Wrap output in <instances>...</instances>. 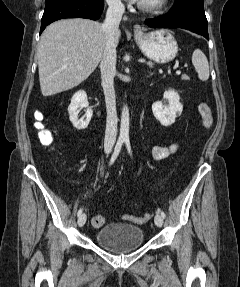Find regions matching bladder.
<instances>
[{"instance_id": "1", "label": "bladder", "mask_w": 240, "mask_h": 287, "mask_svg": "<svg viewBox=\"0 0 240 287\" xmlns=\"http://www.w3.org/2000/svg\"><path fill=\"white\" fill-rule=\"evenodd\" d=\"M94 239L99 246L113 253L122 254L142 246L144 232L136 225L110 223L101 227Z\"/></svg>"}]
</instances>
